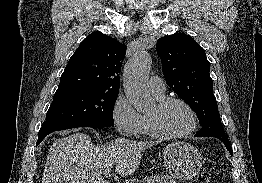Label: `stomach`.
Wrapping results in <instances>:
<instances>
[{
  "mask_svg": "<svg viewBox=\"0 0 262 183\" xmlns=\"http://www.w3.org/2000/svg\"><path fill=\"white\" fill-rule=\"evenodd\" d=\"M163 163L174 179L189 180L199 173L202 155L193 145L176 141L165 148Z\"/></svg>",
  "mask_w": 262,
  "mask_h": 183,
  "instance_id": "obj_1",
  "label": "stomach"
}]
</instances>
